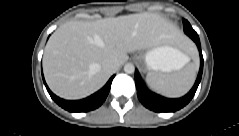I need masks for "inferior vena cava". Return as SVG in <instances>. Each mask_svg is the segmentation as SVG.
<instances>
[{"mask_svg": "<svg viewBox=\"0 0 239 136\" xmlns=\"http://www.w3.org/2000/svg\"><path fill=\"white\" fill-rule=\"evenodd\" d=\"M103 67L108 71L114 72L119 68V64L116 60L109 59L103 63Z\"/></svg>", "mask_w": 239, "mask_h": 136, "instance_id": "obj_1", "label": "inferior vena cava"}]
</instances>
